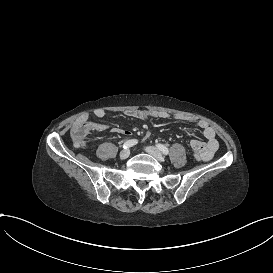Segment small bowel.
Listing matches in <instances>:
<instances>
[{
	"label": "small bowel",
	"mask_w": 273,
	"mask_h": 273,
	"mask_svg": "<svg viewBox=\"0 0 273 273\" xmlns=\"http://www.w3.org/2000/svg\"><path fill=\"white\" fill-rule=\"evenodd\" d=\"M94 116L97 118H104L107 116V112L104 109H96L93 112ZM125 115L128 118L133 119H174L186 124H191L195 129L202 132L204 140L208 143V150L204 154H198L201 159L204 161L211 160L215 153L218 150L219 143L216 138V132L206 121L202 119H197L190 114L185 113H177L170 114L163 111H147V110H128L125 112ZM93 131L97 135H102L107 131L106 125L102 122H97L93 126ZM112 132L120 134V135H130V131L127 129H113ZM78 147H85L87 145L85 140L75 141Z\"/></svg>",
	"instance_id": "1"
}]
</instances>
